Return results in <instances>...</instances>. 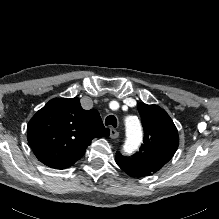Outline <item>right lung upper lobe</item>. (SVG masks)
<instances>
[{
  "label": "right lung upper lobe",
  "instance_id": "right-lung-upper-lobe-1",
  "mask_svg": "<svg viewBox=\"0 0 219 219\" xmlns=\"http://www.w3.org/2000/svg\"><path fill=\"white\" fill-rule=\"evenodd\" d=\"M109 135L97 110H84L78 98H55L30 120L28 142L44 165L66 169L78 161L94 138Z\"/></svg>",
  "mask_w": 219,
  "mask_h": 219
}]
</instances>
